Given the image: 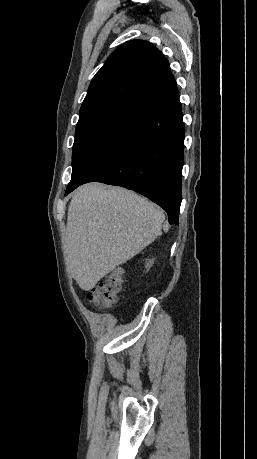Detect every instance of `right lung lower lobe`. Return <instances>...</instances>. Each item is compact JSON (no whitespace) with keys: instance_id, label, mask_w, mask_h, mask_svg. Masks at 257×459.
<instances>
[{"instance_id":"right-lung-lower-lobe-1","label":"right lung lower lobe","mask_w":257,"mask_h":459,"mask_svg":"<svg viewBox=\"0 0 257 459\" xmlns=\"http://www.w3.org/2000/svg\"><path fill=\"white\" fill-rule=\"evenodd\" d=\"M184 123L177 87L136 111L66 189L98 181L134 190L161 206L178 224L182 200Z\"/></svg>"}]
</instances>
